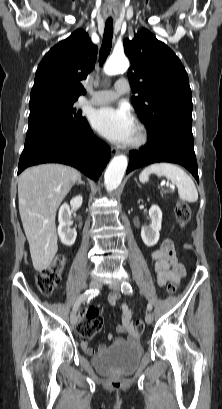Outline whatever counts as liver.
<instances>
[{"label": "liver", "instance_id": "6515ba94", "mask_svg": "<svg viewBox=\"0 0 222 409\" xmlns=\"http://www.w3.org/2000/svg\"><path fill=\"white\" fill-rule=\"evenodd\" d=\"M80 177L61 164L30 167L19 176V213L36 271L47 269L57 253L56 211Z\"/></svg>", "mask_w": 222, "mask_h": 409}]
</instances>
